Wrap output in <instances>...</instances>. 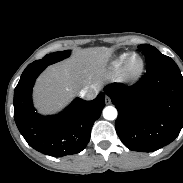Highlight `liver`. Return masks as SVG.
<instances>
[{"label": "liver", "instance_id": "1", "mask_svg": "<svg viewBox=\"0 0 183 183\" xmlns=\"http://www.w3.org/2000/svg\"><path fill=\"white\" fill-rule=\"evenodd\" d=\"M109 57L107 49L87 48L75 57L49 67L37 80L35 106L42 113H52L79 90L91 86L99 88Z\"/></svg>", "mask_w": 183, "mask_h": 183}]
</instances>
